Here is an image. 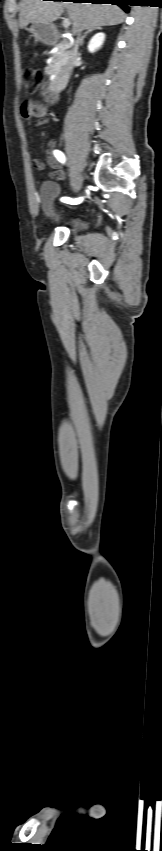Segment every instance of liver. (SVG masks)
Listing matches in <instances>:
<instances>
[{"instance_id":"1","label":"liver","mask_w":162,"mask_h":851,"mask_svg":"<svg viewBox=\"0 0 162 851\" xmlns=\"http://www.w3.org/2000/svg\"><path fill=\"white\" fill-rule=\"evenodd\" d=\"M64 9L72 21L73 32L101 26L118 25L125 20V13L115 5L81 2L22 0L19 24L23 29L29 21L52 24Z\"/></svg>"}]
</instances>
